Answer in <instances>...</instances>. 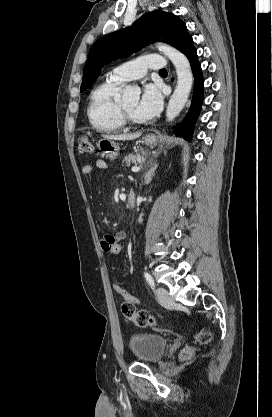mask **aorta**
<instances>
[{"mask_svg": "<svg viewBox=\"0 0 272 417\" xmlns=\"http://www.w3.org/2000/svg\"><path fill=\"white\" fill-rule=\"evenodd\" d=\"M157 48L167 56L175 66L177 73V85L172 94L166 110L167 121H172L184 108L193 84V75L187 57L177 49L163 43H157ZM140 89L134 86H126L122 95L124 101L138 102Z\"/></svg>", "mask_w": 272, "mask_h": 417, "instance_id": "762f6f07", "label": "aorta"}]
</instances>
